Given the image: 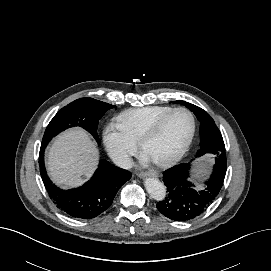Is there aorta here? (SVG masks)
<instances>
[{"instance_id":"obj_1","label":"aorta","mask_w":271,"mask_h":271,"mask_svg":"<svg viewBox=\"0 0 271 271\" xmlns=\"http://www.w3.org/2000/svg\"><path fill=\"white\" fill-rule=\"evenodd\" d=\"M148 194L157 201H162L166 197L165 185L156 178H146L144 181Z\"/></svg>"}]
</instances>
